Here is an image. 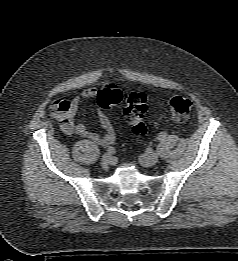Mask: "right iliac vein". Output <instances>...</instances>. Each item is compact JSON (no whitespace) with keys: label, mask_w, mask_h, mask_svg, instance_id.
Masks as SVG:
<instances>
[{"label":"right iliac vein","mask_w":238,"mask_h":261,"mask_svg":"<svg viewBox=\"0 0 238 261\" xmlns=\"http://www.w3.org/2000/svg\"><path fill=\"white\" fill-rule=\"evenodd\" d=\"M112 162V157L109 154H104L101 159L102 165H108Z\"/></svg>","instance_id":"obj_1"}]
</instances>
